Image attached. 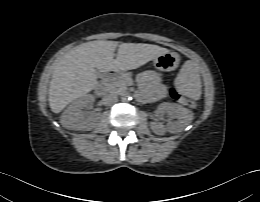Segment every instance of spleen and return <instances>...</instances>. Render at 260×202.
<instances>
[{
  "label": "spleen",
  "mask_w": 260,
  "mask_h": 202,
  "mask_svg": "<svg viewBox=\"0 0 260 202\" xmlns=\"http://www.w3.org/2000/svg\"><path fill=\"white\" fill-rule=\"evenodd\" d=\"M180 91L188 97L198 99L201 95V81L198 72L192 63L187 62L183 65L178 74Z\"/></svg>",
  "instance_id": "obj_1"
}]
</instances>
